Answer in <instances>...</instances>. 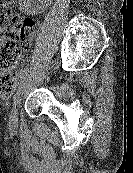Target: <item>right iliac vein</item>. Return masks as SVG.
Masks as SVG:
<instances>
[{
    "label": "right iliac vein",
    "mask_w": 133,
    "mask_h": 173,
    "mask_svg": "<svg viewBox=\"0 0 133 173\" xmlns=\"http://www.w3.org/2000/svg\"><path fill=\"white\" fill-rule=\"evenodd\" d=\"M26 84H27V80L24 78L21 81L20 86L18 88L16 97H15V100H14V105H13V108H12V111H11V114H10L11 124H16V122H17V107H18V104L20 102L21 96L24 92V89L26 87Z\"/></svg>",
    "instance_id": "63e3f726"
}]
</instances>
